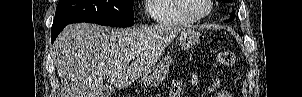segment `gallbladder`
<instances>
[{
  "label": "gallbladder",
  "mask_w": 302,
  "mask_h": 97,
  "mask_svg": "<svg viewBox=\"0 0 302 97\" xmlns=\"http://www.w3.org/2000/svg\"><path fill=\"white\" fill-rule=\"evenodd\" d=\"M113 89L110 85L104 86L102 92H101V97H109L112 93Z\"/></svg>",
  "instance_id": "gallbladder-1"
}]
</instances>
